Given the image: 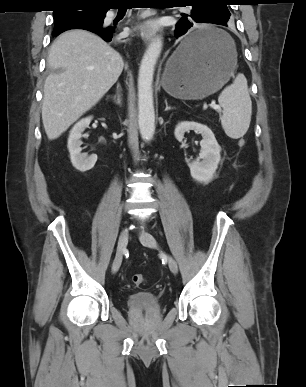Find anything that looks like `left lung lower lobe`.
Returning a JSON list of instances; mask_svg holds the SVG:
<instances>
[{"mask_svg": "<svg viewBox=\"0 0 306 387\" xmlns=\"http://www.w3.org/2000/svg\"><path fill=\"white\" fill-rule=\"evenodd\" d=\"M195 23L206 22L193 16H183L176 25L174 35L177 38L187 33L186 38L182 43V51L184 54H193L206 49L213 45L218 39V34L211 30L196 31L189 34V29L195 26Z\"/></svg>", "mask_w": 306, "mask_h": 387, "instance_id": "obj_1", "label": "left lung lower lobe"}]
</instances>
